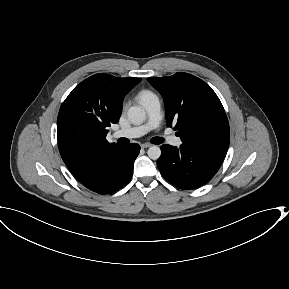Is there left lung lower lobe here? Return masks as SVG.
Returning a JSON list of instances; mask_svg holds the SVG:
<instances>
[{
  "mask_svg": "<svg viewBox=\"0 0 289 289\" xmlns=\"http://www.w3.org/2000/svg\"><path fill=\"white\" fill-rule=\"evenodd\" d=\"M157 161L162 176L181 189H195L211 180L223 158L181 144H164Z\"/></svg>",
  "mask_w": 289,
  "mask_h": 289,
  "instance_id": "1",
  "label": "left lung lower lobe"
}]
</instances>
